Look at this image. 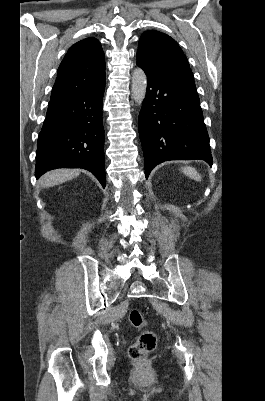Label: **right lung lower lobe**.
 Masks as SVG:
<instances>
[{"label": "right lung lower lobe", "instance_id": "obj_1", "mask_svg": "<svg viewBox=\"0 0 265 401\" xmlns=\"http://www.w3.org/2000/svg\"><path fill=\"white\" fill-rule=\"evenodd\" d=\"M105 85L50 101L39 133L35 176L56 168H83L105 187L102 100Z\"/></svg>", "mask_w": 265, "mask_h": 401}]
</instances>
